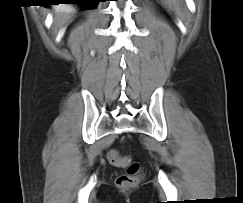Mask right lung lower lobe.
<instances>
[{"label":"right lung lower lobe","mask_w":243,"mask_h":203,"mask_svg":"<svg viewBox=\"0 0 243 203\" xmlns=\"http://www.w3.org/2000/svg\"><path fill=\"white\" fill-rule=\"evenodd\" d=\"M59 1H61L59 3H68V4L83 3L88 8H95L97 2H100V1H103V0H59Z\"/></svg>","instance_id":"98d812e1"}]
</instances>
